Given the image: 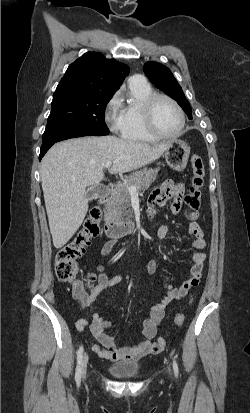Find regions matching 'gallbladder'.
<instances>
[{"instance_id":"obj_1","label":"gallbladder","mask_w":250,"mask_h":413,"mask_svg":"<svg viewBox=\"0 0 250 413\" xmlns=\"http://www.w3.org/2000/svg\"><path fill=\"white\" fill-rule=\"evenodd\" d=\"M100 191H101L100 187H98V186L93 187V188L87 190L86 197L88 198V200H92V199L96 198L99 195Z\"/></svg>"}]
</instances>
